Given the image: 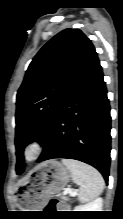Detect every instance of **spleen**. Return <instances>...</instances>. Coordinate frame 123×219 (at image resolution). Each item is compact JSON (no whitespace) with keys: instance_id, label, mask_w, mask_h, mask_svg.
I'll return each mask as SVG.
<instances>
[{"instance_id":"3e777b00","label":"spleen","mask_w":123,"mask_h":219,"mask_svg":"<svg viewBox=\"0 0 123 219\" xmlns=\"http://www.w3.org/2000/svg\"><path fill=\"white\" fill-rule=\"evenodd\" d=\"M62 162L71 172L73 182L80 186V202H90L102 193L104 179L95 168L72 159H63Z\"/></svg>"}]
</instances>
